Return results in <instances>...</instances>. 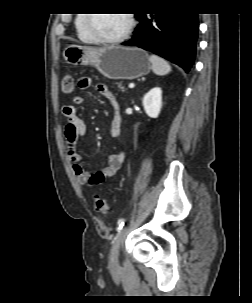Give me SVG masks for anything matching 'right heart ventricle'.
<instances>
[{
  "mask_svg": "<svg viewBox=\"0 0 252 303\" xmlns=\"http://www.w3.org/2000/svg\"><path fill=\"white\" fill-rule=\"evenodd\" d=\"M75 25L78 29V33L83 38H89L90 33L87 30L86 17L78 16L75 20Z\"/></svg>",
  "mask_w": 252,
  "mask_h": 303,
  "instance_id": "obj_1",
  "label": "right heart ventricle"
}]
</instances>
